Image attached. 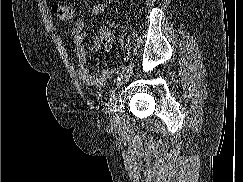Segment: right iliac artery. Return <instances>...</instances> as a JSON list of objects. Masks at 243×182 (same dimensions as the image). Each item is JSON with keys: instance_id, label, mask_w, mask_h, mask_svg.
Masks as SVG:
<instances>
[{"instance_id": "right-iliac-artery-1", "label": "right iliac artery", "mask_w": 243, "mask_h": 182, "mask_svg": "<svg viewBox=\"0 0 243 182\" xmlns=\"http://www.w3.org/2000/svg\"><path fill=\"white\" fill-rule=\"evenodd\" d=\"M125 69H126L125 66H123L122 69H121V71H120V73H119V75H118V77H117V79H116V81H115L116 85H118V83L120 82V80L123 78L124 73H125ZM116 89L117 88H115V90ZM115 90L114 89L111 90L112 96H113Z\"/></svg>"}]
</instances>
